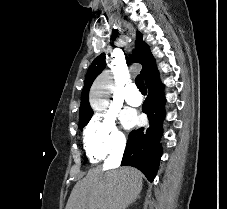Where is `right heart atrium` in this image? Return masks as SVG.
Listing matches in <instances>:
<instances>
[{"label": "right heart atrium", "instance_id": "d8ad5b80", "mask_svg": "<svg viewBox=\"0 0 227 209\" xmlns=\"http://www.w3.org/2000/svg\"><path fill=\"white\" fill-rule=\"evenodd\" d=\"M83 143L88 157L97 162L122 153L126 138L114 118L95 116L84 129Z\"/></svg>", "mask_w": 227, "mask_h": 209}]
</instances>
